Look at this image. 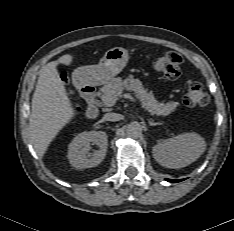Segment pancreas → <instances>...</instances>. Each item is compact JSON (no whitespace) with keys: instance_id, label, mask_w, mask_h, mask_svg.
<instances>
[{"instance_id":"obj_1","label":"pancreas","mask_w":234,"mask_h":231,"mask_svg":"<svg viewBox=\"0 0 234 231\" xmlns=\"http://www.w3.org/2000/svg\"><path fill=\"white\" fill-rule=\"evenodd\" d=\"M123 90L132 91L135 97L141 102L142 106L151 114L167 116L174 112L179 105L178 102L169 101L167 103L158 102L151 92H148L140 80L129 76L125 80L121 77L113 78L107 82L101 89L100 98L104 102L107 98H112L115 101L122 96Z\"/></svg>"}]
</instances>
